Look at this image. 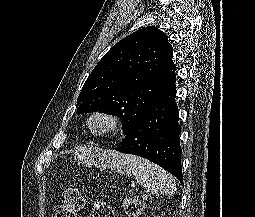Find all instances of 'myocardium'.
Segmentation results:
<instances>
[{"mask_svg": "<svg viewBox=\"0 0 255 217\" xmlns=\"http://www.w3.org/2000/svg\"><path fill=\"white\" fill-rule=\"evenodd\" d=\"M94 122H100V125L94 126ZM84 125L87 131L95 137L108 136L120 129L121 118L110 110L98 109L87 115Z\"/></svg>", "mask_w": 255, "mask_h": 217, "instance_id": "obj_1", "label": "myocardium"}]
</instances>
